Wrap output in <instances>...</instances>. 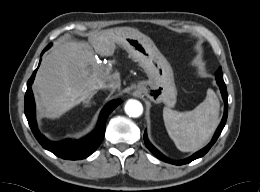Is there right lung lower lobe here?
Instances as JSON below:
<instances>
[{
  "instance_id": "1",
  "label": "right lung lower lobe",
  "mask_w": 260,
  "mask_h": 192,
  "mask_svg": "<svg viewBox=\"0 0 260 192\" xmlns=\"http://www.w3.org/2000/svg\"><path fill=\"white\" fill-rule=\"evenodd\" d=\"M50 46L51 45H48L43 50V52H45ZM36 71L37 69L34 71L31 78L27 82V91L25 94V115L34 136L46 150H49L60 158L78 160L88 157L101 144L105 134L106 120L109 114L114 110V108L118 106L122 101L117 99L109 102L102 110L96 128L85 138L75 141L66 139L60 142H52L45 138L37 129V124L35 120V103L33 92L31 89V84L34 81Z\"/></svg>"
}]
</instances>
